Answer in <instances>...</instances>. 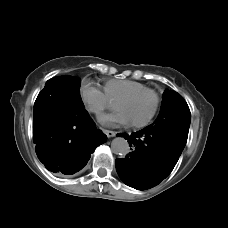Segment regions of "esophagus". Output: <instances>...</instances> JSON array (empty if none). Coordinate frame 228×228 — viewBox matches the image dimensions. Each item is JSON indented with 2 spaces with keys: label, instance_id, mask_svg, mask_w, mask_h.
<instances>
[{
  "label": "esophagus",
  "instance_id": "esophagus-1",
  "mask_svg": "<svg viewBox=\"0 0 228 228\" xmlns=\"http://www.w3.org/2000/svg\"><path fill=\"white\" fill-rule=\"evenodd\" d=\"M103 132L108 136V137H114L116 133L114 131L106 130L103 129Z\"/></svg>",
  "mask_w": 228,
  "mask_h": 228
}]
</instances>
